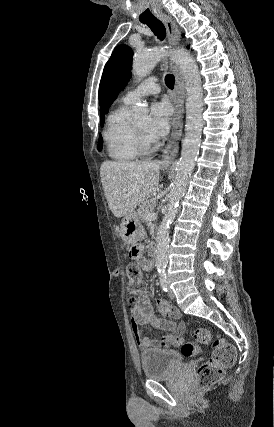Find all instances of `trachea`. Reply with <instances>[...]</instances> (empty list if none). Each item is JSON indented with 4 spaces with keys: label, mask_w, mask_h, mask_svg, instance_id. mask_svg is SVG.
Returning a JSON list of instances; mask_svg holds the SVG:
<instances>
[{
    "label": "trachea",
    "mask_w": 274,
    "mask_h": 427,
    "mask_svg": "<svg viewBox=\"0 0 274 427\" xmlns=\"http://www.w3.org/2000/svg\"><path fill=\"white\" fill-rule=\"evenodd\" d=\"M141 23H144L150 27L154 35L159 40H163L166 37V30L162 23V21L158 20L156 17L148 18L146 20L141 21ZM165 83L167 87L173 89L174 88V76L173 75H166L165 77Z\"/></svg>",
    "instance_id": "1"
}]
</instances>
